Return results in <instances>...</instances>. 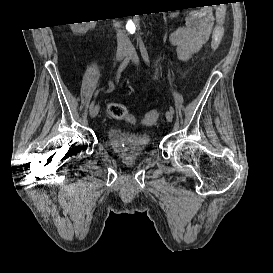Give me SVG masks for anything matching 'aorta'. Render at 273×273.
<instances>
[{"label":"aorta","instance_id":"1","mask_svg":"<svg viewBox=\"0 0 273 273\" xmlns=\"http://www.w3.org/2000/svg\"><path fill=\"white\" fill-rule=\"evenodd\" d=\"M133 18H134L133 19L134 23L136 24V26H138L140 23L139 15H135ZM138 39L140 40V38H138Z\"/></svg>","mask_w":273,"mask_h":273}]
</instances>
